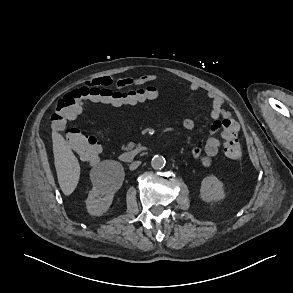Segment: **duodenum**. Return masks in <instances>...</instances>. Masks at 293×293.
Masks as SVG:
<instances>
[{
    "instance_id": "410a0bca",
    "label": "duodenum",
    "mask_w": 293,
    "mask_h": 293,
    "mask_svg": "<svg viewBox=\"0 0 293 293\" xmlns=\"http://www.w3.org/2000/svg\"><path fill=\"white\" fill-rule=\"evenodd\" d=\"M146 151V147L144 146H138L136 148H133L131 150L122 151L119 154V159L124 163H131L134 161V159L142 152Z\"/></svg>"
}]
</instances>
